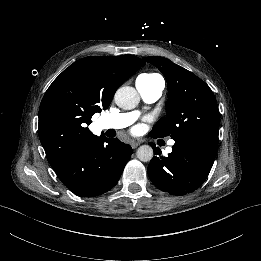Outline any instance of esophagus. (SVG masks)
Instances as JSON below:
<instances>
[{"instance_id":"34e87169","label":"esophagus","mask_w":261,"mask_h":261,"mask_svg":"<svg viewBox=\"0 0 261 261\" xmlns=\"http://www.w3.org/2000/svg\"><path fill=\"white\" fill-rule=\"evenodd\" d=\"M143 142V140L140 141H134L131 143V146L133 149L137 148L141 143Z\"/></svg>"}]
</instances>
